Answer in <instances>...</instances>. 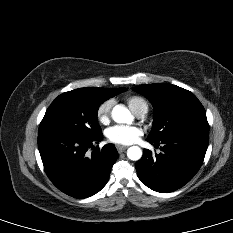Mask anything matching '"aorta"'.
Listing matches in <instances>:
<instances>
[{"label": "aorta", "instance_id": "obj_1", "mask_svg": "<svg viewBox=\"0 0 233 233\" xmlns=\"http://www.w3.org/2000/svg\"><path fill=\"white\" fill-rule=\"evenodd\" d=\"M112 118L117 123L130 124L133 121L131 112L123 105H116L112 110ZM130 160L138 161L142 157V150L138 146H132L127 150Z\"/></svg>", "mask_w": 233, "mask_h": 233}]
</instances>
